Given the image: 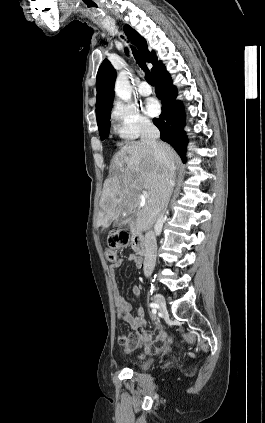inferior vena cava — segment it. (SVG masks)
Returning <instances> with one entry per match:
<instances>
[{
    "mask_svg": "<svg viewBox=\"0 0 265 423\" xmlns=\"http://www.w3.org/2000/svg\"><path fill=\"white\" fill-rule=\"evenodd\" d=\"M160 137L159 129L151 122L147 121L143 124L141 130V143L154 149L155 156L165 165L167 162V148L158 139ZM174 185L173 174L169 171L166 182L163 187L162 194V210L167 206ZM162 217L160 212L158 219ZM145 254H144V274L150 276L156 264L157 242L156 235L153 230H149L145 234Z\"/></svg>",
    "mask_w": 265,
    "mask_h": 423,
    "instance_id": "obj_1",
    "label": "inferior vena cava"
}]
</instances>
